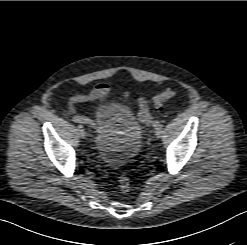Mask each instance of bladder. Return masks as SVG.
Here are the masks:
<instances>
[{"instance_id": "31cf9c89", "label": "bladder", "mask_w": 247, "mask_h": 245, "mask_svg": "<svg viewBox=\"0 0 247 245\" xmlns=\"http://www.w3.org/2000/svg\"><path fill=\"white\" fill-rule=\"evenodd\" d=\"M94 140L97 154L109 165L134 159L144 146L143 131L129 106L106 102L94 112Z\"/></svg>"}]
</instances>
